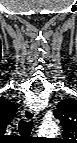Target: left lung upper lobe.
<instances>
[{"label": "left lung upper lobe", "mask_w": 77, "mask_h": 143, "mask_svg": "<svg viewBox=\"0 0 77 143\" xmlns=\"http://www.w3.org/2000/svg\"><path fill=\"white\" fill-rule=\"evenodd\" d=\"M54 116L61 121L65 139L77 137V100L65 99L60 101L54 111Z\"/></svg>", "instance_id": "obj_1"}]
</instances>
